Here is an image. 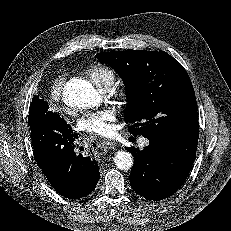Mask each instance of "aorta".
<instances>
[{
    "instance_id": "aorta-1",
    "label": "aorta",
    "mask_w": 231,
    "mask_h": 231,
    "mask_svg": "<svg viewBox=\"0 0 231 231\" xmlns=\"http://www.w3.org/2000/svg\"><path fill=\"white\" fill-rule=\"evenodd\" d=\"M63 100L70 107L84 109L98 106L101 97L90 82L72 79L63 88ZM133 162V156L128 151H118L114 156V163L121 170H129Z\"/></svg>"
}]
</instances>
